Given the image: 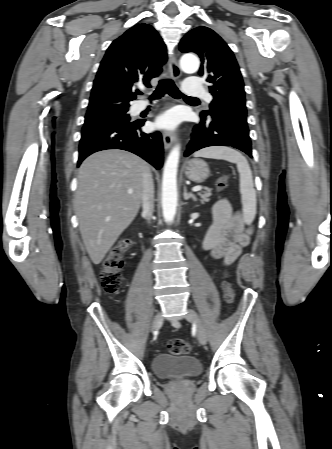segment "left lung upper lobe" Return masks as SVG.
<instances>
[{
    "label": "left lung upper lobe",
    "mask_w": 332,
    "mask_h": 449,
    "mask_svg": "<svg viewBox=\"0 0 332 449\" xmlns=\"http://www.w3.org/2000/svg\"><path fill=\"white\" fill-rule=\"evenodd\" d=\"M182 52H194L201 59L199 75L210 83L213 96L210 110L200 113L201 120L215 114L247 115L245 91L239 66L223 39L207 27L189 31L179 44Z\"/></svg>",
    "instance_id": "obj_1"
}]
</instances>
